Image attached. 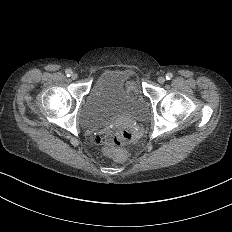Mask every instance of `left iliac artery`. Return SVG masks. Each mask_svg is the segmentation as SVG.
Here are the masks:
<instances>
[{
    "mask_svg": "<svg viewBox=\"0 0 232 232\" xmlns=\"http://www.w3.org/2000/svg\"><path fill=\"white\" fill-rule=\"evenodd\" d=\"M166 79L167 80H171L173 78V74L171 72H168L166 75H165Z\"/></svg>",
    "mask_w": 232,
    "mask_h": 232,
    "instance_id": "1",
    "label": "left iliac artery"
}]
</instances>
